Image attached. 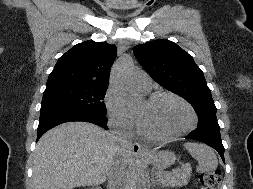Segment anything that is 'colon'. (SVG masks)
I'll return each mask as SVG.
<instances>
[{"instance_id":"5ec220e1","label":"colon","mask_w":253,"mask_h":189,"mask_svg":"<svg viewBox=\"0 0 253 189\" xmlns=\"http://www.w3.org/2000/svg\"><path fill=\"white\" fill-rule=\"evenodd\" d=\"M199 182V189H218L221 183V172L219 170L202 172Z\"/></svg>"}]
</instances>
